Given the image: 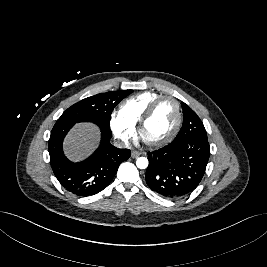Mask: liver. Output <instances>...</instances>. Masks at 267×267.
Segmentation results:
<instances>
[{
	"label": "liver",
	"mask_w": 267,
	"mask_h": 267,
	"mask_svg": "<svg viewBox=\"0 0 267 267\" xmlns=\"http://www.w3.org/2000/svg\"><path fill=\"white\" fill-rule=\"evenodd\" d=\"M99 130L92 123H80L69 132L64 140V151L72 161H80L97 146Z\"/></svg>",
	"instance_id": "liver-1"
}]
</instances>
